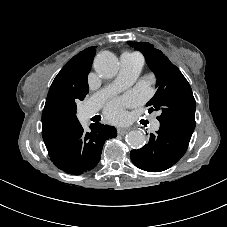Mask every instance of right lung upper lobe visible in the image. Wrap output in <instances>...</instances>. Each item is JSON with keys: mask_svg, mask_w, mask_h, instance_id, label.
I'll return each mask as SVG.
<instances>
[{"mask_svg": "<svg viewBox=\"0 0 227 227\" xmlns=\"http://www.w3.org/2000/svg\"><path fill=\"white\" fill-rule=\"evenodd\" d=\"M96 50L87 48L69 60L57 74L49 89L46 102L58 95H83L89 91L87 76ZM50 138H43L47 141Z\"/></svg>", "mask_w": 227, "mask_h": 227, "instance_id": "1", "label": "right lung upper lobe"}]
</instances>
